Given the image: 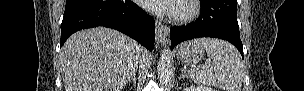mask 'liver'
<instances>
[{
  "mask_svg": "<svg viewBox=\"0 0 304 91\" xmlns=\"http://www.w3.org/2000/svg\"><path fill=\"white\" fill-rule=\"evenodd\" d=\"M143 58L142 48L116 30L76 32L59 57L65 91H121Z\"/></svg>",
  "mask_w": 304,
  "mask_h": 91,
  "instance_id": "liver-1",
  "label": "liver"
}]
</instances>
